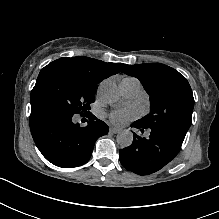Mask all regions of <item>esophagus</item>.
Returning <instances> with one entry per match:
<instances>
[{"mask_svg":"<svg viewBox=\"0 0 219 219\" xmlns=\"http://www.w3.org/2000/svg\"><path fill=\"white\" fill-rule=\"evenodd\" d=\"M109 131L112 133V134H117L120 132V129L119 128H116V127H110Z\"/></svg>","mask_w":219,"mask_h":219,"instance_id":"esophagus-1","label":"esophagus"}]
</instances>
